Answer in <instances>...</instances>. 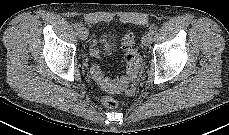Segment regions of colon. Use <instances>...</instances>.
Segmentation results:
<instances>
[{
  "label": "colon",
  "mask_w": 229,
  "mask_h": 135,
  "mask_svg": "<svg viewBox=\"0 0 229 135\" xmlns=\"http://www.w3.org/2000/svg\"><path fill=\"white\" fill-rule=\"evenodd\" d=\"M122 46L125 51L127 77L121 81H111L105 78L97 65L91 66V73L98 85L107 93L101 98L103 106L114 109L118 102L110 94L123 91L139 73L141 66V56L138 52L135 39L132 33H126L122 37Z\"/></svg>",
  "instance_id": "obj_1"
}]
</instances>
